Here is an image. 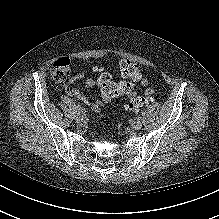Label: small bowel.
<instances>
[{
  "label": "small bowel",
  "mask_w": 219,
  "mask_h": 219,
  "mask_svg": "<svg viewBox=\"0 0 219 219\" xmlns=\"http://www.w3.org/2000/svg\"><path fill=\"white\" fill-rule=\"evenodd\" d=\"M100 69L99 67H95V70ZM84 77L83 73H78L75 74L70 81L65 84L63 86L64 91L66 92V94H68L69 96H73L76 97L77 99L81 100L82 102H84L85 104H87L88 106H90L92 109L94 110H100L103 106V101L102 100H92L89 99L88 97H86L85 95H83L80 91H78L77 89H75L72 85L75 81L80 80ZM137 83H140L141 86L143 87H147L149 84V81L147 78L140 76L139 80ZM95 85V80L93 78H87L85 80V86L87 88H91ZM148 91H152V89L148 88L146 89V92ZM145 92V93H146Z\"/></svg>",
  "instance_id": "1"
}]
</instances>
